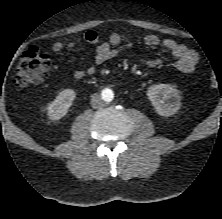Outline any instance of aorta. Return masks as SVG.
I'll use <instances>...</instances> for the list:
<instances>
[{
    "instance_id": "aorta-1",
    "label": "aorta",
    "mask_w": 222,
    "mask_h": 219,
    "mask_svg": "<svg viewBox=\"0 0 222 219\" xmlns=\"http://www.w3.org/2000/svg\"><path fill=\"white\" fill-rule=\"evenodd\" d=\"M103 97H104L105 101H111L114 97V94H113L112 90L106 89V90H104Z\"/></svg>"
}]
</instances>
